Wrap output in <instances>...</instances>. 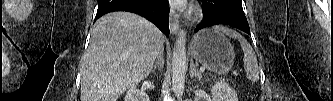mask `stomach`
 Here are the masks:
<instances>
[{
  "label": "stomach",
  "instance_id": "0dacf381",
  "mask_svg": "<svg viewBox=\"0 0 333 101\" xmlns=\"http://www.w3.org/2000/svg\"><path fill=\"white\" fill-rule=\"evenodd\" d=\"M192 57L208 69L226 73L234 62V49L230 41L219 31L203 30L191 43Z\"/></svg>",
  "mask_w": 333,
  "mask_h": 101
}]
</instances>
